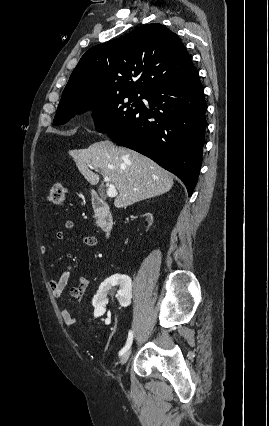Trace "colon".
Instances as JSON below:
<instances>
[{"instance_id":"5ec220e1","label":"colon","mask_w":269,"mask_h":426,"mask_svg":"<svg viewBox=\"0 0 269 426\" xmlns=\"http://www.w3.org/2000/svg\"><path fill=\"white\" fill-rule=\"evenodd\" d=\"M48 201L53 206L62 208L65 203V187L62 183H54L48 194Z\"/></svg>"}]
</instances>
